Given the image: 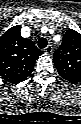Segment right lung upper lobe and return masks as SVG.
I'll return each mask as SVG.
<instances>
[{"instance_id": "right-lung-upper-lobe-1", "label": "right lung upper lobe", "mask_w": 81, "mask_h": 124, "mask_svg": "<svg viewBox=\"0 0 81 124\" xmlns=\"http://www.w3.org/2000/svg\"><path fill=\"white\" fill-rule=\"evenodd\" d=\"M20 31L21 25H17L0 37V77L12 84L25 80L42 54Z\"/></svg>"}]
</instances>
